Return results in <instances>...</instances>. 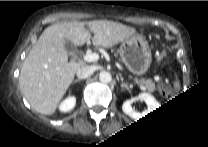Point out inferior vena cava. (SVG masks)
I'll use <instances>...</instances> for the list:
<instances>
[{
    "label": "inferior vena cava",
    "instance_id": "1",
    "mask_svg": "<svg viewBox=\"0 0 208 147\" xmlns=\"http://www.w3.org/2000/svg\"><path fill=\"white\" fill-rule=\"evenodd\" d=\"M96 69L97 68L94 65H87L85 67H82L80 70H78L76 74L78 79H85L93 75Z\"/></svg>",
    "mask_w": 208,
    "mask_h": 147
}]
</instances>
